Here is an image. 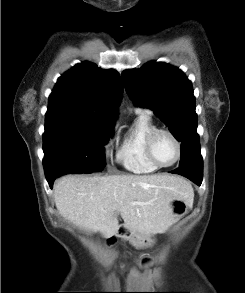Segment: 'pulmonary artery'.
<instances>
[{"mask_svg": "<svg viewBox=\"0 0 245 293\" xmlns=\"http://www.w3.org/2000/svg\"><path fill=\"white\" fill-rule=\"evenodd\" d=\"M137 112H145V113H149V111L146 110V109H137Z\"/></svg>", "mask_w": 245, "mask_h": 293, "instance_id": "pulmonary-artery-1", "label": "pulmonary artery"}]
</instances>
